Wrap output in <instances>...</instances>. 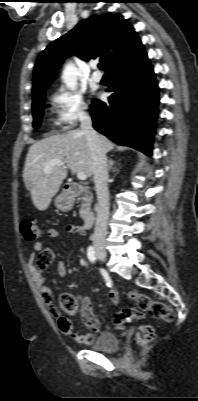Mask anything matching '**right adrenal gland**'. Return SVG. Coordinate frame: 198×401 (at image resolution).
<instances>
[{"label": "right adrenal gland", "instance_id": "right-adrenal-gland-1", "mask_svg": "<svg viewBox=\"0 0 198 401\" xmlns=\"http://www.w3.org/2000/svg\"><path fill=\"white\" fill-rule=\"evenodd\" d=\"M114 164H115V163H114V161H113L112 159H109V160H108V170H109V171L113 169V165H114Z\"/></svg>", "mask_w": 198, "mask_h": 401}]
</instances>
